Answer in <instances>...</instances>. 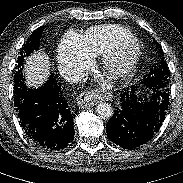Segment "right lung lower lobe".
Returning a JSON list of instances; mask_svg holds the SVG:
<instances>
[{
	"label": "right lung lower lobe",
	"instance_id": "1",
	"mask_svg": "<svg viewBox=\"0 0 183 183\" xmlns=\"http://www.w3.org/2000/svg\"><path fill=\"white\" fill-rule=\"evenodd\" d=\"M23 74L14 83V105L26 136L38 147L58 151L74 139V116L53 75L39 89H30Z\"/></svg>",
	"mask_w": 183,
	"mask_h": 183
}]
</instances>
